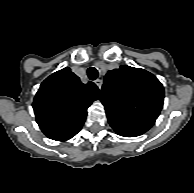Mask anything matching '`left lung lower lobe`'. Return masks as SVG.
Masks as SVG:
<instances>
[{
    "mask_svg": "<svg viewBox=\"0 0 194 193\" xmlns=\"http://www.w3.org/2000/svg\"><path fill=\"white\" fill-rule=\"evenodd\" d=\"M107 118L114 131L124 137H136L145 133L149 129L143 125L133 123L111 114H107Z\"/></svg>",
    "mask_w": 194,
    "mask_h": 193,
    "instance_id": "obj_1",
    "label": "left lung lower lobe"
}]
</instances>
